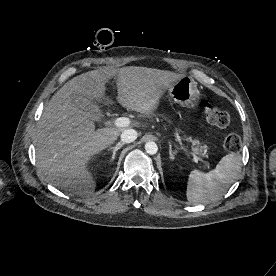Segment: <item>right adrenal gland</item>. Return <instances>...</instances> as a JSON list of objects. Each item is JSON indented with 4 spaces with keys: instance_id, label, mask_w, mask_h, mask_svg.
I'll list each match as a JSON object with an SVG mask.
<instances>
[{
    "instance_id": "obj_1",
    "label": "right adrenal gland",
    "mask_w": 276,
    "mask_h": 276,
    "mask_svg": "<svg viewBox=\"0 0 276 276\" xmlns=\"http://www.w3.org/2000/svg\"><path fill=\"white\" fill-rule=\"evenodd\" d=\"M124 145V143L122 142H119L116 144L115 147H109L108 148V151H111L112 150V157H111V160L110 161H113L115 159V156H116V152Z\"/></svg>"
}]
</instances>
